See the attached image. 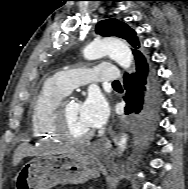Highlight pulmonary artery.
I'll list each match as a JSON object with an SVG mask.
<instances>
[{
    "instance_id": "e3ab8cb5",
    "label": "pulmonary artery",
    "mask_w": 188,
    "mask_h": 189,
    "mask_svg": "<svg viewBox=\"0 0 188 189\" xmlns=\"http://www.w3.org/2000/svg\"><path fill=\"white\" fill-rule=\"evenodd\" d=\"M120 72L113 64H98L92 68L67 69L59 71L54 79L67 91L90 82H114L120 79Z\"/></svg>"
}]
</instances>
